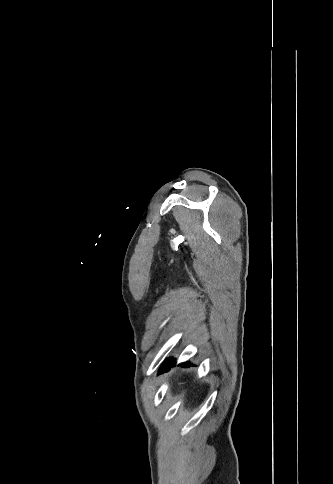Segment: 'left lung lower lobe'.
Instances as JSON below:
<instances>
[{
    "mask_svg": "<svg viewBox=\"0 0 333 484\" xmlns=\"http://www.w3.org/2000/svg\"><path fill=\"white\" fill-rule=\"evenodd\" d=\"M183 366H189V364L186 362V363H183L182 364ZM171 366H174V361L173 360H166V362L162 365V367L160 368V370H168Z\"/></svg>",
    "mask_w": 333,
    "mask_h": 484,
    "instance_id": "obj_1",
    "label": "left lung lower lobe"
}]
</instances>
